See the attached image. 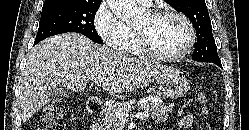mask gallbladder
<instances>
[{
  "label": "gallbladder",
  "instance_id": "1",
  "mask_svg": "<svg viewBox=\"0 0 249 130\" xmlns=\"http://www.w3.org/2000/svg\"><path fill=\"white\" fill-rule=\"evenodd\" d=\"M49 94L54 97H66L69 95V92L62 86H56L49 90Z\"/></svg>",
  "mask_w": 249,
  "mask_h": 130
}]
</instances>
